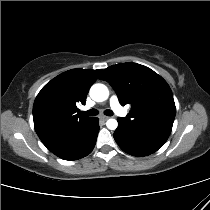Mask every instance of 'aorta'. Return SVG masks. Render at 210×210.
Masks as SVG:
<instances>
[{"instance_id":"762f6f07","label":"aorta","mask_w":210,"mask_h":210,"mask_svg":"<svg viewBox=\"0 0 210 210\" xmlns=\"http://www.w3.org/2000/svg\"><path fill=\"white\" fill-rule=\"evenodd\" d=\"M90 97L96 102H103L107 100L109 96V90L104 84H94L90 88ZM106 126L110 130H115L118 126V122L115 119H109L106 122Z\"/></svg>"}]
</instances>
